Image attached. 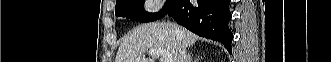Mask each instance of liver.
<instances>
[{
    "label": "liver",
    "instance_id": "6515ba94",
    "mask_svg": "<svg viewBox=\"0 0 331 62\" xmlns=\"http://www.w3.org/2000/svg\"><path fill=\"white\" fill-rule=\"evenodd\" d=\"M197 40L198 36L174 23L143 24L125 37L117 51L115 62H154L153 58H145V53L156 48L168 50L173 62H177L179 44L188 48Z\"/></svg>",
    "mask_w": 331,
    "mask_h": 62
}]
</instances>
